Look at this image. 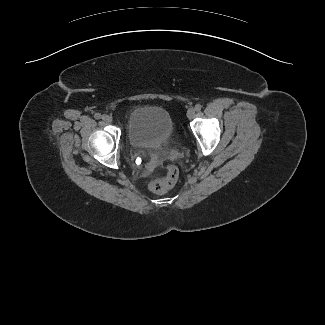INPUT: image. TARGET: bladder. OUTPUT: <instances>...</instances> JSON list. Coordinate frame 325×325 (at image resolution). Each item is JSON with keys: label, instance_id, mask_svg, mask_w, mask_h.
<instances>
[{"label": "bladder", "instance_id": "1", "mask_svg": "<svg viewBox=\"0 0 325 325\" xmlns=\"http://www.w3.org/2000/svg\"><path fill=\"white\" fill-rule=\"evenodd\" d=\"M126 134L134 147L160 148L172 144L177 138L172 116L157 106L133 109L127 120Z\"/></svg>", "mask_w": 325, "mask_h": 325}]
</instances>
